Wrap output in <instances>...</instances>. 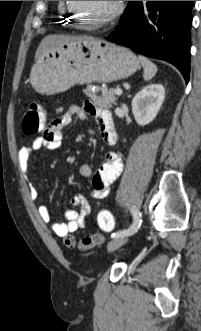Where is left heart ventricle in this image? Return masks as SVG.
Here are the masks:
<instances>
[{"instance_id":"left-heart-ventricle-1","label":"left heart ventricle","mask_w":201,"mask_h":331,"mask_svg":"<svg viewBox=\"0 0 201 331\" xmlns=\"http://www.w3.org/2000/svg\"><path fill=\"white\" fill-rule=\"evenodd\" d=\"M78 10L88 22H96L106 16L114 7L115 1H74Z\"/></svg>"}]
</instances>
